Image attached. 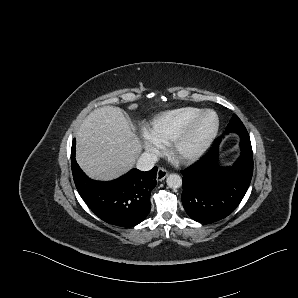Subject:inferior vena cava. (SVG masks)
<instances>
[{
  "label": "inferior vena cava",
  "mask_w": 298,
  "mask_h": 298,
  "mask_svg": "<svg viewBox=\"0 0 298 298\" xmlns=\"http://www.w3.org/2000/svg\"><path fill=\"white\" fill-rule=\"evenodd\" d=\"M158 161V156L152 151L141 154L136 162L137 169L140 171H150Z\"/></svg>",
  "instance_id": "inferior-vena-cava-1"
}]
</instances>
